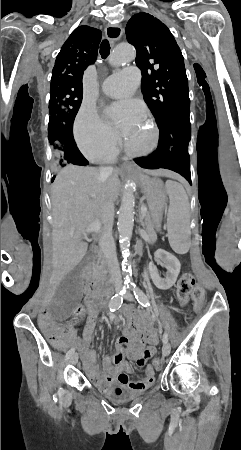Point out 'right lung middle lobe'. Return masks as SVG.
<instances>
[{
  "label": "right lung middle lobe",
  "instance_id": "dd1d6c3e",
  "mask_svg": "<svg viewBox=\"0 0 241 450\" xmlns=\"http://www.w3.org/2000/svg\"><path fill=\"white\" fill-rule=\"evenodd\" d=\"M83 88L58 84L50 88L48 138L55 171L70 164L64 136H72L73 122L82 102Z\"/></svg>",
  "mask_w": 241,
  "mask_h": 450
}]
</instances>
